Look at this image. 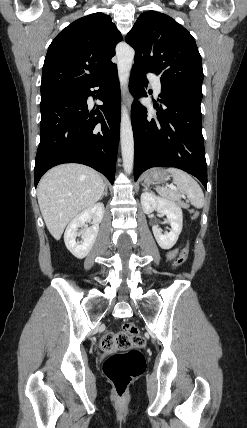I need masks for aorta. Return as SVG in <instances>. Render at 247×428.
I'll list each match as a JSON object with an SVG mask.
<instances>
[{
    "mask_svg": "<svg viewBox=\"0 0 247 428\" xmlns=\"http://www.w3.org/2000/svg\"><path fill=\"white\" fill-rule=\"evenodd\" d=\"M134 55V50L128 45H122L117 49L118 76L122 93L126 92ZM120 139L123 166L125 171L130 174L134 162V137L131 120L124 105L121 109Z\"/></svg>",
    "mask_w": 247,
    "mask_h": 428,
    "instance_id": "aorta-1",
    "label": "aorta"
}]
</instances>
